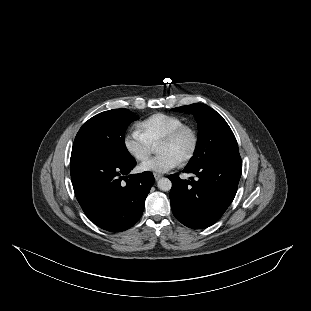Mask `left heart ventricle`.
<instances>
[{
  "label": "left heart ventricle",
  "mask_w": 311,
  "mask_h": 311,
  "mask_svg": "<svg viewBox=\"0 0 311 311\" xmlns=\"http://www.w3.org/2000/svg\"><path fill=\"white\" fill-rule=\"evenodd\" d=\"M193 146V135L191 132H185L180 139L172 144L161 143L157 146L158 153L170 152L182 160L191 150Z\"/></svg>",
  "instance_id": "left-heart-ventricle-1"
}]
</instances>
